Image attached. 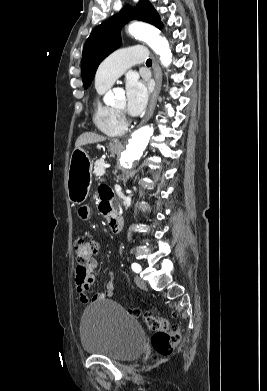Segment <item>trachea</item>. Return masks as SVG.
Returning <instances> with one entry per match:
<instances>
[{"label": "trachea", "instance_id": "obj_1", "mask_svg": "<svg viewBox=\"0 0 267 391\" xmlns=\"http://www.w3.org/2000/svg\"><path fill=\"white\" fill-rule=\"evenodd\" d=\"M151 64H152L151 59H148V60L146 61V65L151 66Z\"/></svg>", "mask_w": 267, "mask_h": 391}]
</instances>
